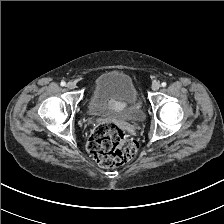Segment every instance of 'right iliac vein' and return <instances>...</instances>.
I'll return each instance as SVG.
<instances>
[{
  "mask_svg": "<svg viewBox=\"0 0 224 224\" xmlns=\"http://www.w3.org/2000/svg\"><path fill=\"white\" fill-rule=\"evenodd\" d=\"M66 87L71 90L76 87V84L74 82L70 81L67 83Z\"/></svg>",
  "mask_w": 224,
  "mask_h": 224,
  "instance_id": "63e3f726",
  "label": "right iliac vein"
}]
</instances>
